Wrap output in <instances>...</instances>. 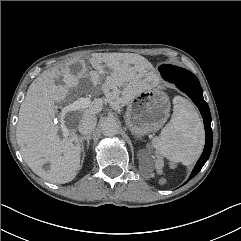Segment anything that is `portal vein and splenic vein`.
Wrapping results in <instances>:
<instances>
[{
  "label": "portal vein and splenic vein",
  "mask_w": 241,
  "mask_h": 241,
  "mask_svg": "<svg viewBox=\"0 0 241 241\" xmlns=\"http://www.w3.org/2000/svg\"><path fill=\"white\" fill-rule=\"evenodd\" d=\"M91 106V101L89 98H79L73 103L69 104L68 106L62 109V112L66 113L68 111H75L79 109H85ZM64 135L68 136L66 129H64Z\"/></svg>",
  "instance_id": "portal-vein-and-splenic-vein-1"
}]
</instances>
